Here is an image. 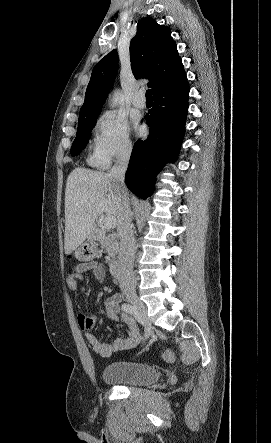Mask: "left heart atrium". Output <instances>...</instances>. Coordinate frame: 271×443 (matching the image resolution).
<instances>
[{"instance_id": "39dd6f15", "label": "left heart atrium", "mask_w": 271, "mask_h": 443, "mask_svg": "<svg viewBox=\"0 0 271 443\" xmlns=\"http://www.w3.org/2000/svg\"><path fill=\"white\" fill-rule=\"evenodd\" d=\"M136 132H137L138 135H142L144 133V127L140 126V125H137L136 126Z\"/></svg>"}]
</instances>
